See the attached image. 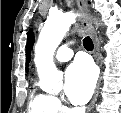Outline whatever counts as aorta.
Here are the masks:
<instances>
[{
	"instance_id": "762f6f07",
	"label": "aorta",
	"mask_w": 121,
	"mask_h": 113,
	"mask_svg": "<svg viewBox=\"0 0 121 113\" xmlns=\"http://www.w3.org/2000/svg\"><path fill=\"white\" fill-rule=\"evenodd\" d=\"M76 16L72 12L51 14L40 32L35 47V65L41 87L49 92L60 88L62 76L53 62V56Z\"/></svg>"
}]
</instances>
